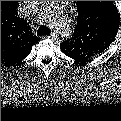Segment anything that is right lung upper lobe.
Here are the masks:
<instances>
[{"instance_id": "1", "label": "right lung upper lobe", "mask_w": 121, "mask_h": 121, "mask_svg": "<svg viewBox=\"0 0 121 121\" xmlns=\"http://www.w3.org/2000/svg\"><path fill=\"white\" fill-rule=\"evenodd\" d=\"M16 2L1 1V60L26 57L37 42L25 22L15 16Z\"/></svg>"}]
</instances>
